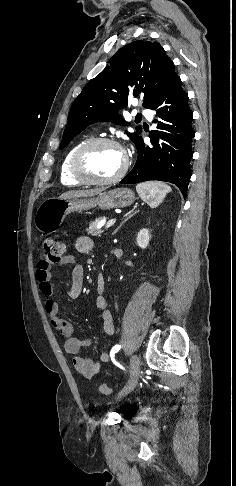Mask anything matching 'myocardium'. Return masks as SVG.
<instances>
[{"label": "myocardium", "instance_id": "obj_1", "mask_svg": "<svg viewBox=\"0 0 236 486\" xmlns=\"http://www.w3.org/2000/svg\"><path fill=\"white\" fill-rule=\"evenodd\" d=\"M99 145H112L117 147L123 153V166L121 170L113 177L99 179L90 176L84 168V158L87 153ZM129 168V158L124 147L115 139L108 137H97L83 143L73 154L70 163V171L75 179L83 184L88 185H109L120 181L127 173Z\"/></svg>", "mask_w": 236, "mask_h": 486}]
</instances>
